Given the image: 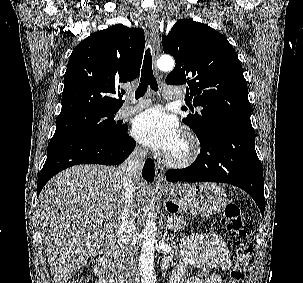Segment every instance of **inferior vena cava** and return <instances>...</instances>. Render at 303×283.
<instances>
[{
	"label": "inferior vena cava",
	"instance_id": "inferior-vena-cava-1",
	"mask_svg": "<svg viewBox=\"0 0 303 283\" xmlns=\"http://www.w3.org/2000/svg\"><path fill=\"white\" fill-rule=\"evenodd\" d=\"M146 156L147 150L137 147L120 166L123 171L122 185L124 188V205L118 230V242L123 252L126 283H140L137 250L136 247L131 244L135 224L134 219L130 217V213L133 210V182L135 179L140 178Z\"/></svg>",
	"mask_w": 303,
	"mask_h": 283
}]
</instances>
